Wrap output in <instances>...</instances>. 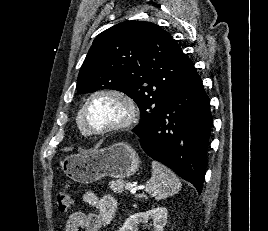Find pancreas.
<instances>
[{
	"label": "pancreas",
	"mask_w": 268,
	"mask_h": 231,
	"mask_svg": "<svg viewBox=\"0 0 268 231\" xmlns=\"http://www.w3.org/2000/svg\"><path fill=\"white\" fill-rule=\"evenodd\" d=\"M124 183L123 182H111L110 183V189L114 193H122L124 190ZM126 188V187H125Z\"/></svg>",
	"instance_id": "1"
}]
</instances>
